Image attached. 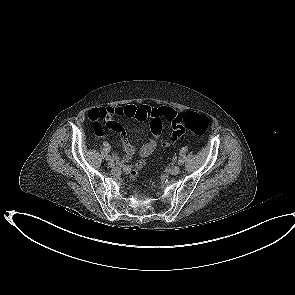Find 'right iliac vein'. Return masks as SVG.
Returning <instances> with one entry per match:
<instances>
[{"mask_svg":"<svg viewBox=\"0 0 295 295\" xmlns=\"http://www.w3.org/2000/svg\"><path fill=\"white\" fill-rule=\"evenodd\" d=\"M108 165H109L111 168H113V167L115 166V164H114L113 161H109V162H108Z\"/></svg>","mask_w":295,"mask_h":295,"instance_id":"right-iliac-vein-1","label":"right iliac vein"}]
</instances>
